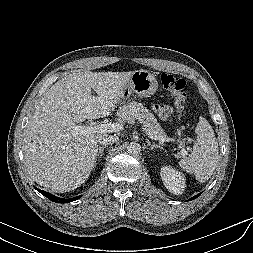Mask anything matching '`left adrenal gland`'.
Listing matches in <instances>:
<instances>
[{"label": "left adrenal gland", "mask_w": 253, "mask_h": 253, "mask_svg": "<svg viewBox=\"0 0 253 253\" xmlns=\"http://www.w3.org/2000/svg\"><path fill=\"white\" fill-rule=\"evenodd\" d=\"M147 145L150 146L151 150H153L154 148H159V149H163V147L156 145L155 143H151L149 140L146 141Z\"/></svg>", "instance_id": "1"}]
</instances>
